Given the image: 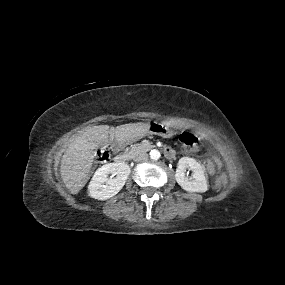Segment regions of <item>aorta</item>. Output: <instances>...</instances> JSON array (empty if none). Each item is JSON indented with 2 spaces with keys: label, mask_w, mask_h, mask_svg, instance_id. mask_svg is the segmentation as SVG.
I'll list each match as a JSON object with an SVG mask.
<instances>
[{
  "label": "aorta",
  "mask_w": 285,
  "mask_h": 285,
  "mask_svg": "<svg viewBox=\"0 0 285 285\" xmlns=\"http://www.w3.org/2000/svg\"><path fill=\"white\" fill-rule=\"evenodd\" d=\"M160 157H161V155H160V152H159L158 150H156V149L151 150V152H150V158H151L152 160H158Z\"/></svg>",
  "instance_id": "obj_1"
}]
</instances>
